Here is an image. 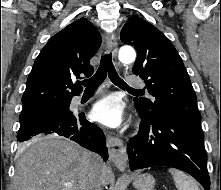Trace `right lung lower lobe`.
Returning a JSON list of instances; mask_svg holds the SVG:
<instances>
[{
	"instance_id": "right-lung-lower-lobe-1",
	"label": "right lung lower lobe",
	"mask_w": 221,
	"mask_h": 190,
	"mask_svg": "<svg viewBox=\"0 0 221 190\" xmlns=\"http://www.w3.org/2000/svg\"><path fill=\"white\" fill-rule=\"evenodd\" d=\"M38 134H54L74 140L100 154L106 161L108 149L103 131L85 119L83 112H71L69 106L19 129L17 140L27 141Z\"/></svg>"
}]
</instances>
